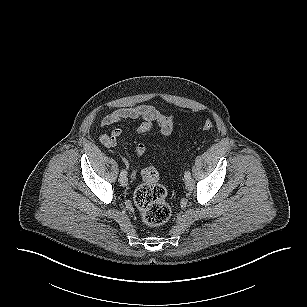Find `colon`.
Returning a JSON list of instances; mask_svg holds the SVG:
<instances>
[{
	"label": "colon",
	"mask_w": 307,
	"mask_h": 307,
	"mask_svg": "<svg viewBox=\"0 0 307 307\" xmlns=\"http://www.w3.org/2000/svg\"><path fill=\"white\" fill-rule=\"evenodd\" d=\"M214 124L206 120L202 126L204 131H210ZM143 182L134 193V202L144 223L149 226H160L171 216V207L166 201V189L160 183L158 170L149 166L142 171Z\"/></svg>",
	"instance_id": "5ec220e1"
}]
</instances>
